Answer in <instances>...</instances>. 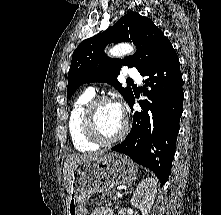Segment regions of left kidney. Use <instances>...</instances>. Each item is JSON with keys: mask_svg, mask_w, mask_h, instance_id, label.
Masks as SVG:
<instances>
[{"mask_svg": "<svg viewBox=\"0 0 221 215\" xmlns=\"http://www.w3.org/2000/svg\"><path fill=\"white\" fill-rule=\"evenodd\" d=\"M157 180L153 177L143 179L137 186L131 198V204L140 209L142 215H148L155 200Z\"/></svg>", "mask_w": 221, "mask_h": 215, "instance_id": "1", "label": "left kidney"}]
</instances>
